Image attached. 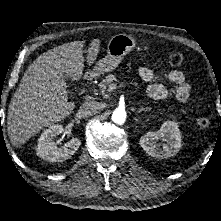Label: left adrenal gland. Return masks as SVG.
<instances>
[{
  "label": "left adrenal gland",
  "instance_id": "obj_1",
  "mask_svg": "<svg viewBox=\"0 0 221 221\" xmlns=\"http://www.w3.org/2000/svg\"><path fill=\"white\" fill-rule=\"evenodd\" d=\"M150 108H141L140 110L136 111V113H141L142 111L147 112L150 111Z\"/></svg>",
  "mask_w": 221,
  "mask_h": 221
}]
</instances>
